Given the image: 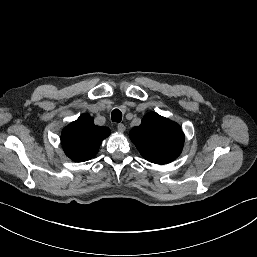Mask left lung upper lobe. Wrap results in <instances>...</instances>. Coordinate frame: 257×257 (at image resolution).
Instances as JSON below:
<instances>
[{
  "label": "left lung upper lobe",
  "mask_w": 257,
  "mask_h": 257,
  "mask_svg": "<svg viewBox=\"0 0 257 257\" xmlns=\"http://www.w3.org/2000/svg\"><path fill=\"white\" fill-rule=\"evenodd\" d=\"M129 136L140 154L156 164L175 160L184 143L180 126L155 112L145 115L140 126L130 130Z\"/></svg>",
  "instance_id": "1"
}]
</instances>
